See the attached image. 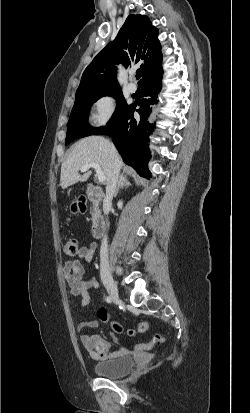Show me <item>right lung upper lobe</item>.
<instances>
[{"instance_id": "obj_1", "label": "right lung upper lobe", "mask_w": 250, "mask_h": 413, "mask_svg": "<svg viewBox=\"0 0 250 413\" xmlns=\"http://www.w3.org/2000/svg\"><path fill=\"white\" fill-rule=\"evenodd\" d=\"M157 35L158 30L147 16L129 15L116 39L107 44L83 72L76 95L120 89L115 76L118 63L128 67L131 61L142 62V80L161 71L162 53Z\"/></svg>"}]
</instances>
